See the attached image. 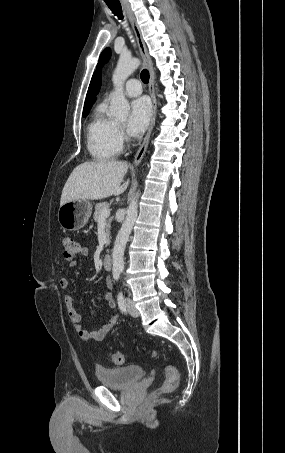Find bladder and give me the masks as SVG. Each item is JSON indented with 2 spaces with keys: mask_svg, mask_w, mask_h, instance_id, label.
<instances>
[{
  "mask_svg": "<svg viewBox=\"0 0 285 453\" xmlns=\"http://www.w3.org/2000/svg\"><path fill=\"white\" fill-rule=\"evenodd\" d=\"M95 377L103 386L125 389L141 380L145 370L140 365H128L118 368H106L97 365L94 369Z\"/></svg>",
  "mask_w": 285,
  "mask_h": 453,
  "instance_id": "31cf9c89",
  "label": "bladder"
}]
</instances>
